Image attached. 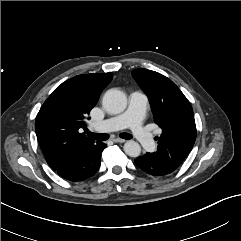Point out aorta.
<instances>
[{"label": "aorta", "instance_id": "aorta-1", "mask_svg": "<svg viewBox=\"0 0 241 241\" xmlns=\"http://www.w3.org/2000/svg\"><path fill=\"white\" fill-rule=\"evenodd\" d=\"M102 104L108 113L119 114L125 110L127 98L122 91L110 89L104 94ZM123 148L124 152L130 157H138L141 153L140 145L133 140L127 141Z\"/></svg>", "mask_w": 241, "mask_h": 241}]
</instances>
